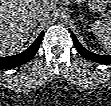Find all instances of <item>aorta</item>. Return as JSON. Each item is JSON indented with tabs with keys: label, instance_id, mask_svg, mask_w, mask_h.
<instances>
[{
	"label": "aorta",
	"instance_id": "aorta-1",
	"mask_svg": "<svg viewBox=\"0 0 111 106\" xmlns=\"http://www.w3.org/2000/svg\"><path fill=\"white\" fill-rule=\"evenodd\" d=\"M59 18L60 19H65V16L63 14H60Z\"/></svg>",
	"mask_w": 111,
	"mask_h": 106
}]
</instances>
